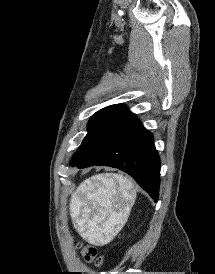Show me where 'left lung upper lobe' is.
Listing matches in <instances>:
<instances>
[{"label": "left lung upper lobe", "instance_id": "obj_1", "mask_svg": "<svg viewBox=\"0 0 215 274\" xmlns=\"http://www.w3.org/2000/svg\"><path fill=\"white\" fill-rule=\"evenodd\" d=\"M124 105L107 106L96 112L88 123V133L80 147L72 157L71 162H78L91 153L115 129L134 117Z\"/></svg>", "mask_w": 215, "mask_h": 274}]
</instances>
